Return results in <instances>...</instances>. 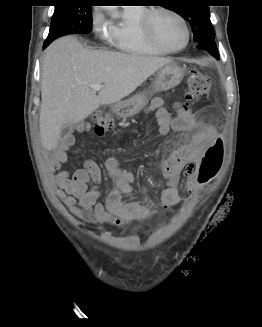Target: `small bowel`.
<instances>
[{
    "mask_svg": "<svg viewBox=\"0 0 262 327\" xmlns=\"http://www.w3.org/2000/svg\"><path fill=\"white\" fill-rule=\"evenodd\" d=\"M173 106L177 111L176 117L169 115L162 98H155L152 101L150 110L155 112L158 122L157 135L165 136L171 132L186 131L195 133L186 143L176 148L163 163L165 188L158 199L162 206L164 203L176 205L181 201L179 183L183 169L184 183L187 185L186 194L194 198L197 196L195 191L198 185L195 181L194 165H205L199 163V154L204 153L208 143H217L218 136L212 126L200 125L193 113L182 103L176 102ZM78 129L87 131L88 127L86 124H80ZM73 143L72 135L64 136L52 157L50 168L57 172L54 177L56 195L74 216L85 221L122 226L124 223L141 220L153 214L152 209L132 197L134 175L123 168L115 157H110L105 162L115 188L104 203L99 201L102 174L95 161L86 160L83 167L73 173L61 169L67 158L66 151Z\"/></svg>",
    "mask_w": 262,
    "mask_h": 327,
    "instance_id": "small-bowel-1",
    "label": "small bowel"
}]
</instances>
